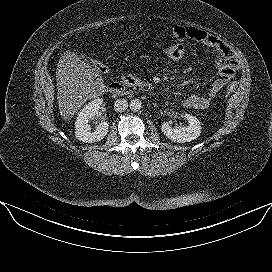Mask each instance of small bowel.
Instances as JSON below:
<instances>
[{
	"label": "small bowel",
	"instance_id": "c3829d8e",
	"mask_svg": "<svg viewBox=\"0 0 272 272\" xmlns=\"http://www.w3.org/2000/svg\"><path fill=\"white\" fill-rule=\"evenodd\" d=\"M176 40L192 39L207 46L213 56L218 76L213 81L206 94H190L184 98L182 105L185 108L198 110L210 106L218 93L232 80L238 70V62L234 52L217 36L192 26H176L173 29Z\"/></svg>",
	"mask_w": 272,
	"mask_h": 272
}]
</instances>
